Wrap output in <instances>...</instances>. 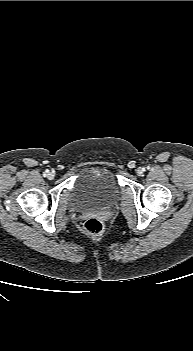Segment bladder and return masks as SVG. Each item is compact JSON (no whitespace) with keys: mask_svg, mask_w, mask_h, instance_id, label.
<instances>
[{"mask_svg":"<svg viewBox=\"0 0 193 351\" xmlns=\"http://www.w3.org/2000/svg\"><path fill=\"white\" fill-rule=\"evenodd\" d=\"M119 190L111 172L102 166H91L76 180L72 204L80 210L102 208L114 202Z\"/></svg>","mask_w":193,"mask_h":351,"instance_id":"1","label":"bladder"}]
</instances>
